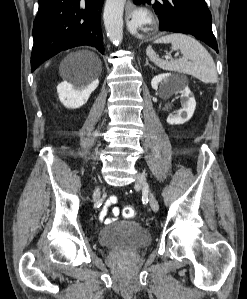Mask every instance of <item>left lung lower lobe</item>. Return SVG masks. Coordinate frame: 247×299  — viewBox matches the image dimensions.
Returning <instances> with one entry per match:
<instances>
[{
    "mask_svg": "<svg viewBox=\"0 0 247 299\" xmlns=\"http://www.w3.org/2000/svg\"><path fill=\"white\" fill-rule=\"evenodd\" d=\"M136 5L154 0H133ZM153 8L160 21V31L191 34L218 52L211 28V13L205 0H155Z\"/></svg>",
    "mask_w": 247,
    "mask_h": 299,
    "instance_id": "0a47b994",
    "label": "left lung lower lobe"
}]
</instances>
